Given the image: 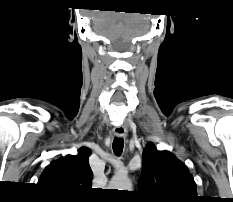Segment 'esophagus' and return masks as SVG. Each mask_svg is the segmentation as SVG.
<instances>
[{"instance_id": "34e87169", "label": "esophagus", "mask_w": 233, "mask_h": 202, "mask_svg": "<svg viewBox=\"0 0 233 202\" xmlns=\"http://www.w3.org/2000/svg\"><path fill=\"white\" fill-rule=\"evenodd\" d=\"M113 131L118 137H123L126 135V128L124 126H116Z\"/></svg>"}]
</instances>
